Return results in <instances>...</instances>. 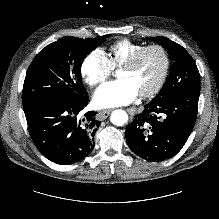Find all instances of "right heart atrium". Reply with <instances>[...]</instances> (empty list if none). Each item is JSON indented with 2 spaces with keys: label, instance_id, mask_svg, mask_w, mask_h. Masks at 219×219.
<instances>
[{
  "label": "right heart atrium",
  "instance_id": "1",
  "mask_svg": "<svg viewBox=\"0 0 219 219\" xmlns=\"http://www.w3.org/2000/svg\"><path fill=\"white\" fill-rule=\"evenodd\" d=\"M112 69L106 53L101 49H95L83 60L81 74L88 85L95 87L111 75Z\"/></svg>",
  "mask_w": 219,
  "mask_h": 219
}]
</instances>
